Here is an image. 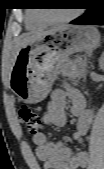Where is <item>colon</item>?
<instances>
[{
	"mask_svg": "<svg viewBox=\"0 0 104 169\" xmlns=\"http://www.w3.org/2000/svg\"><path fill=\"white\" fill-rule=\"evenodd\" d=\"M18 113L26 132L33 136L39 134L42 128V118L39 111L24 105L19 108Z\"/></svg>",
	"mask_w": 104,
	"mask_h": 169,
	"instance_id": "obj_1",
	"label": "colon"
}]
</instances>
